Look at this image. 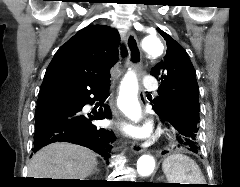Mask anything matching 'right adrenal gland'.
<instances>
[{
    "label": "right adrenal gland",
    "instance_id": "1",
    "mask_svg": "<svg viewBox=\"0 0 240 187\" xmlns=\"http://www.w3.org/2000/svg\"><path fill=\"white\" fill-rule=\"evenodd\" d=\"M99 172H100V170L95 168L92 174L99 173Z\"/></svg>",
    "mask_w": 240,
    "mask_h": 187
}]
</instances>
